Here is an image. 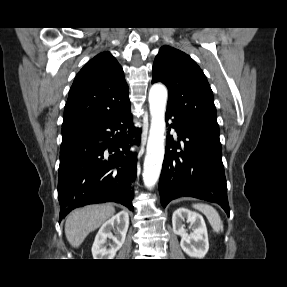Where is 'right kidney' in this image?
Listing matches in <instances>:
<instances>
[{
    "label": "right kidney",
    "mask_w": 287,
    "mask_h": 287,
    "mask_svg": "<svg viewBox=\"0 0 287 287\" xmlns=\"http://www.w3.org/2000/svg\"><path fill=\"white\" fill-rule=\"evenodd\" d=\"M128 227L129 215L126 211H121L107 220L95 237L92 246L93 258L113 259L125 242Z\"/></svg>",
    "instance_id": "right-kidney-1"
}]
</instances>
